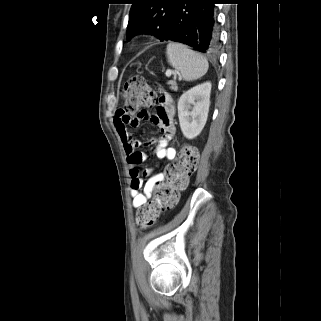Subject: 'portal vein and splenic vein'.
I'll use <instances>...</instances> for the list:
<instances>
[{
    "mask_svg": "<svg viewBox=\"0 0 321 321\" xmlns=\"http://www.w3.org/2000/svg\"><path fill=\"white\" fill-rule=\"evenodd\" d=\"M165 74H166L167 77L171 76V74L180 75L178 72H176V71L174 72V71L169 70V69L166 71Z\"/></svg>",
    "mask_w": 321,
    "mask_h": 321,
    "instance_id": "1",
    "label": "portal vein and splenic vein"
}]
</instances>
